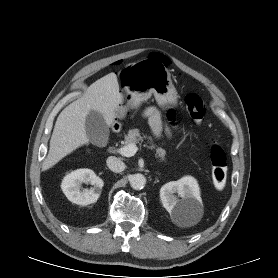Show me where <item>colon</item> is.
<instances>
[{"label":"colon","instance_id":"1","mask_svg":"<svg viewBox=\"0 0 278 278\" xmlns=\"http://www.w3.org/2000/svg\"><path fill=\"white\" fill-rule=\"evenodd\" d=\"M185 104L190 117L200 124L206 112L203 99L195 93H190L185 98ZM210 163L213 184L217 190H222L227 180V157L223 147L217 143L210 147Z\"/></svg>","mask_w":278,"mask_h":278}]
</instances>
